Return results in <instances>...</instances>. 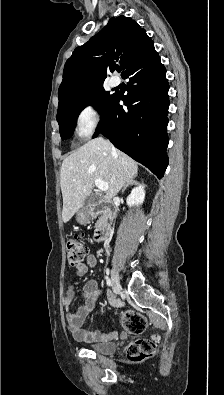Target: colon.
<instances>
[{"mask_svg":"<svg viewBox=\"0 0 224 395\" xmlns=\"http://www.w3.org/2000/svg\"><path fill=\"white\" fill-rule=\"evenodd\" d=\"M85 253L86 249L80 238L75 237L66 242L65 254L71 266H77L82 263ZM120 320L124 329L132 334H141L145 330V318L136 311H122L120 313ZM156 343V337L138 340L129 347L128 357L133 362L149 359L156 353Z\"/></svg>","mask_w":224,"mask_h":395,"instance_id":"colon-1","label":"colon"}]
</instances>
